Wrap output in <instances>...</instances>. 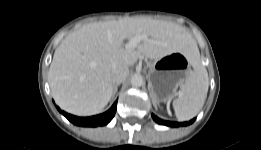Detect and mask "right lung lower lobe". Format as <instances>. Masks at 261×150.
Returning a JSON list of instances; mask_svg holds the SVG:
<instances>
[{
  "mask_svg": "<svg viewBox=\"0 0 261 150\" xmlns=\"http://www.w3.org/2000/svg\"><path fill=\"white\" fill-rule=\"evenodd\" d=\"M117 101L113 104V106L105 113L92 116V117H76L66 112L61 111L58 107V111L61 112L69 121L73 124L83 127H97L106 125L111 121L116 112Z\"/></svg>",
  "mask_w": 261,
  "mask_h": 150,
  "instance_id": "right-lung-lower-lobe-1",
  "label": "right lung lower lobe"
}]
</instances>
